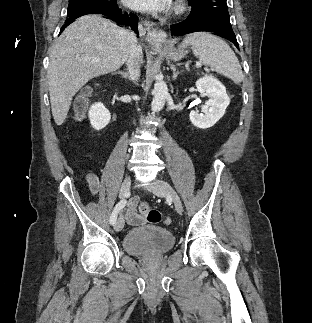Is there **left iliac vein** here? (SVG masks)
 I'll return each instance as SVG.
<instances>
[{
    "mask_svg": "<svg viewBox=\"0 0 312 323\" xmlns=\"http://www.w3.org/2000/svg\"><path fill=\"white\" fill-rule=\"evenodd\" d=\"M151 190L156 195L167 196L170 200H172L176 211L181 214L183 211L182 202L177 192L173 189V187L163 180H156L154 185L151 187Z\"/></svg>",
    "mask_w": 312,
    "mask_h": 323,
    "instance_id": "1",
    "label": "left iliac vein"
}]
</instances>
